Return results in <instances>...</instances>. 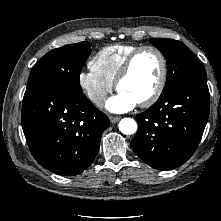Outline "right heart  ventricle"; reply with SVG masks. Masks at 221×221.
Instances as JSON below:
<instances>
[{
  "label": "right heart ventricle",
  "mask_w": 221,
  "mask_h": 221,
  "mask_svg": "<svg viewBox=\"0 0 221 221\" xmlns=\"http://www.w3.org/2000/svg\"><path fill=\"white\" fill-rule=\"evenodd\" d=\"M140 45L112 44L99 50L90 61L91 68L108 81L115 83L127 57Z\"/></svg>",
  "instance_id": "obj_1"
}]
</instances>
